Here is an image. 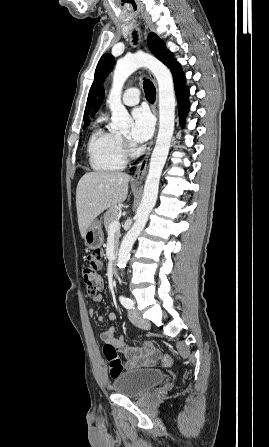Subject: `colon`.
Listing matches in <instances>:
<instances>
[{
  "instance_id": "5ec220e1",
  "label": "colon",
  "mask_w": 269,
  "mask_h": 447,
  "mask_svg": "<svg viewBox=\"0 0 269 447\" xmlns=\"http://www.w3.org/2000/svg\"><path fill=\"white\" fill-rule=\"evenodd\" d=\"M103 252L99 249L90 252L89 261L82 267V278L86 285V294L89 297H95L97 292L103 287V278L98 271L103 270ZM145 353V350L138 349L134 353ZM132 353V351H131ZM103 354L108 361V374L110 377L117 379L122 376L124 366L121 362L117 350L110 344L103 346ZM152 364H158L162 367L172 365V359L168 355H157Z\"/></svg>"
}]
</instances>
